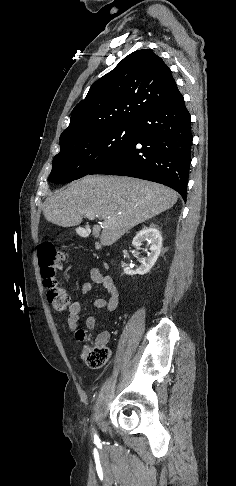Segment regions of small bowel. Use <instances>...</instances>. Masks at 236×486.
<instances>
[{"instance_id": "c3829d8e", "label": "small bowel", "mask_w": 236, "mask_h": 486, "mask_svg": "<svg viewBox=\"0 0 236 486\" xmlns=\"http://www.w3.org/2000/svg\"><path fill=\"white\" fill-rule=\"evenodd\" d=\"M91 282H86L82 286V293L84 295L89 294L95 285L101 286L107 293L106 297L97 298L94 301V307L99 309H105L107 313L113 312L118 306L119 292L118 288L114 284L113 279L108 275H103L99 269L92 268L90 270ZM83 315L82 304L79 301L73 302L68 309L67 324L72 333H76L78 327V321ZM86 327L92 330L96 327L97 318L95 316L87 317L85 321ZM109 339V333L107 331L101 332L97 338L96 343L105 344Z\"/></svg>"}]
</instances>
